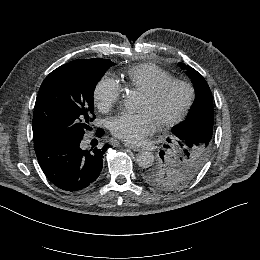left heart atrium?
I'll return each instance as SVG.
<instances>
[{
	"instance_id": "obj_1",
	"label": "left heart atrium",
	"mask_w": 260,
	"mask_h": 260,
	"mask_svg": "<svg viewBox=\"0 0 260 260\" xmlns=\"http://www.w3.org/2000/svg\"><path fill=\"white\" fill-rule=\"evenodd\" d=\"M155 123L147 110L138 113H122L112 120L111 132L118 138L137 143L155 130Z\"/></svg>"
}]
</instances>
